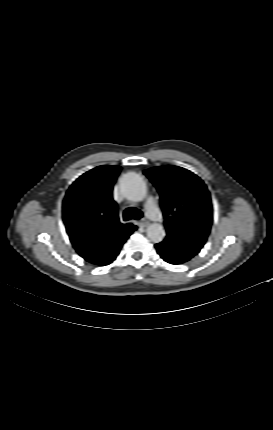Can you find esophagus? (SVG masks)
Here are the masks:
<instances>
[{"instance_id":"esophagus-1","label":"esophagus","mask_w":273,"mask_h":430,"mask_svg":"<svg viewBox=\"0 0 273 430\" xmlns=\"http://www.w3.org/2000/svg\"><path fill=\"white\" fill-rule=\"evenodd\" d=\"M141 224H142L144 227H147V226L149 225V222H148L146 219H142V220H141Z\"/></svg>"}]
</instances>
